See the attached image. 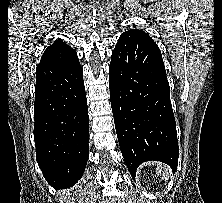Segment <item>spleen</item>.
I'll return each mask as SVG.
<instances>
[{
	"mask_svg": "<svg viewBox=\"0 0 222 203\" xmlns=\"http://www.w3.org/2000/svg\"><path fill=\"white\" fill-rule=\"evenodd\" d=\"M162 170H164L163 173ZM156 174L162 175L163 180H168L171 175V170L168 166H165L164 164L161 163H157Z\"/></svg>",
	"mask_w": 222,
	"mask_h": 203,
	"instance_id": "1",
	"label": "spleen"
}]
</instances>
